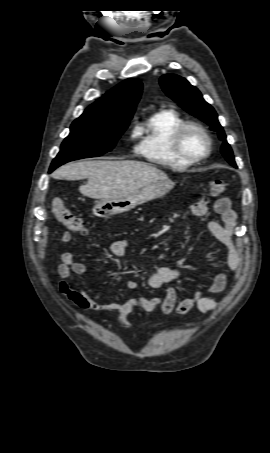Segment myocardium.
<instances>
[{
    "label": "myocardium",
    "instance_id": "1",
    "mask_svg": "<svg viewBox=\"0 0 270 453\" xmlns=\"http://www.w3.org/2000/svg\"><path fill=\"white\" fill-rule=\"evenodd\" d=\"M188 130H196L200 132L206 139L207 141V147L206 151L199 156H191L188 153H186L183 149L182 146V139ZM172 148L173 151L177 156H179L181 159L190 162V163H198L203 161L204 159L208 158L212 152V139L208 131L199 123L196 122H184L181 124L173 133L172 139Z\"/></svg>",
    "mask_w": 270,
    "mask_h": 453
}]
</instances>
